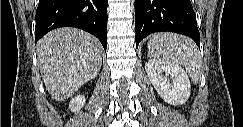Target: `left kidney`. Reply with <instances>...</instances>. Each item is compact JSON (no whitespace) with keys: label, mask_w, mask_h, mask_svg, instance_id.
<instances>
[{"label":"left kidney","mask_w":243,"mask_h":127,"mask_svg":"<svg viewBox=\"0 0 243 127\" xmlns=\"http://www.w3.org/2000/svg\"><path fill=\"white\" fill-rule=\"evenodd\" d=\"M145 69L150 82L165 102L179 106L188 100L191 85L187 73L181 67L150 59Z\"/></svg>","instance_id":"1"}]
</instances>
